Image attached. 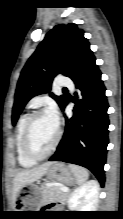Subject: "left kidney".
I'll use <instances>...</instances> for the list:
<instances>
[{"label":"left kidney","instance_id":"5707ae66","mask_svg":"<svg viewBox=\"0 0 123 219\" xmlns=\"http://www.w3.org/2000/svg\"><path fill=\"white\" fill-rule=\"evenodd\" d=\"M99 189L97 180H89L82 184L70 194L68 207L71 211H96Z\"/></svg>","mask_w":123,"mask_h":219}]
</instances>
